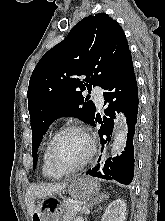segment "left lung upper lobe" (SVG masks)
<instances>
[{
	"instance_id": "1",
	"label": "left lung upper lobe",
	"mask_w": 165,
	"mask_h": 221,
	"mask_svg": "<svg viewBox=\"0 0 165 221\" xmlns=\"http://www.w3.org/2000/svg\"><path fill=\"white\" fill-rule=\"evenodd\" d=\"M130 54L120 25L106 13H99L79 21L40 59L28 87L34 169L37 149L50 124L61 116L91 124L95 105L82 91L91 90L92 85L103 88Z\"/></svg>"
}]
</instances>
